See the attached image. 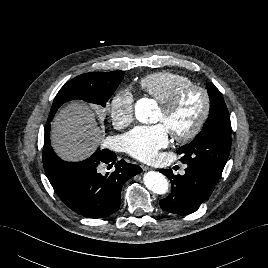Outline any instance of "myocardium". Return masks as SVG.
<instances>
[{"mask_svg": "<svg viewBox=\"0 0 268 268\" xmlns=\"http://www.w3.org/2000/svg\"><path fill=\"white\" fill-rule=\"evenodd\" d=\"M191 91H198L203 96V110H202L200 117L198 118V120L195 122V124L189 131L180 135L171 134L173 140L176 141L177 143L184 144V143L190 142L203 129L211 112L210 93L203 86L196 85V84H188L178 89L166 103L160 105V109L162 110L163 114L165 116H170L178 107V105L180 104L185 94Z\"/></svg>", "mask_w": 268, "mask_h": 268, "instance_id": "myocardium-1", "label": "myocardium"}]
</instances>
